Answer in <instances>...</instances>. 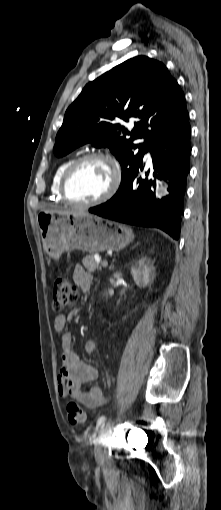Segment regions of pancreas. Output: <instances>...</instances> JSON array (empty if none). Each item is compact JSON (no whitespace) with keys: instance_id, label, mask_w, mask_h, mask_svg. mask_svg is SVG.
Instances as JSON below:
<instances>
[{"instance_id":"pancreas-1","label":"pancreas","mask_w":221,"mask_h":510,"mask_svg":"<svg viewBox=\"0 0 221 510\" xmlns=\"http://www.w3.org/2000/svg\"><path fill=\"white\" fill-rule=\"evenodd\" d=\"M82 264L90 272H94L95 270L102 269V266L95 260V257L93 254L87 255L86 257H84L82 260Z\"/></svg>"}]
</instances>
